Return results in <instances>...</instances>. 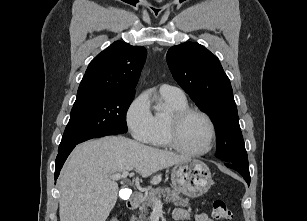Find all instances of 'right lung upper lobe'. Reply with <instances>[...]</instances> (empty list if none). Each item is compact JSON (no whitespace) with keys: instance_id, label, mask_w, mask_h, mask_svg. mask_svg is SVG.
<instances>
[{"instance_id":"right-lung-upper-lobe-1","label":"right lung upper lobe","mask_w":307,"mask_h":221,"mask_svg":"<svg viewBox=\"0 0 307 221\" xmlns=\"http://www.w3.org/2000/svg\"><path fill=\"white\" fill-rule=\"evenodd\" d=\"M146 55L142 46L114 42L88 65L75 102L106 94L135 93Z\"/></svg>"}]
</instances>
